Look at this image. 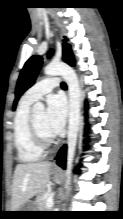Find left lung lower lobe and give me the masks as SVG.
Listing matches in <instances>:
<instances>
[{
  "mask_svg": "<svg viewBox=\"0 0 123 219\" xmlns=\"http://www.w3.org/2000/svg\"><path fill=\"white\" fill-rule=\"evenodd\" d=\"M66 148H67V146L64 145L56 157L57 164L63 168H65V164H66ZM78 171L79 170H76V172H78Z\"/></svg>",
  "mask_w": 123,
  "mask_h": 219,
  "instance_id": "left-lung-lower-lobe-1",
  "label": "left lung lower lobe"
}]
</instances>
